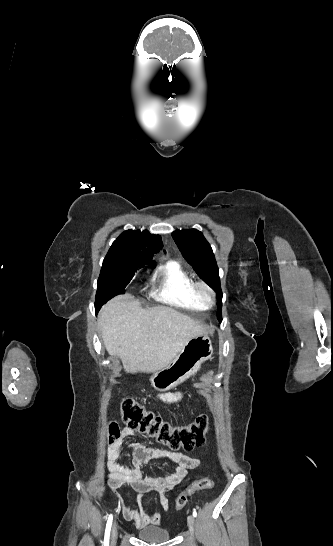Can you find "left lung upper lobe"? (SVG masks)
<instances>
[{
    "mask_svg": "<svg viewBox=\"0 0 333 546\" xmlns=\"http://www.w3.org/2000/svg\"><path fill=\"white\" fill-rule=\"evenodd\" d=\"M172 237L183 257L193 267L198 276L218 293L220 307L217 318L221 322L222 291L219 270L210 244L203 234L196 229L175 230Z\"/></svg>",
    "mask_w": 333,
    "mask_h": 546,
    "instance_id": "1",
    "label": "left lung upper lobe"
}]
</instances>
